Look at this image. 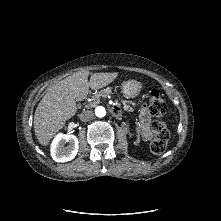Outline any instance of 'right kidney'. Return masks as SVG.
<instances>
[{"instance_id": "ca27d5eb", "label": "right kidney", "mask_w": 221, "mask_h": 221, "mask_svg": "<svg viewBox=\"0 0 221 221\" xmlns=\"http://www.w3.org/2000/svg\"><path fill=\"white\" fill-rule=\"evenodd\" d=\"M69 142L68 146H65ZM79 149L75 135L58 134L51 144V156L56 162H68L75 158Z\"/></svg>"}]
</instances>
